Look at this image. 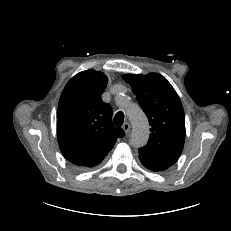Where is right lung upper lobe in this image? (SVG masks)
<instances>
[{
    "mask_svg": "<svg viewBox=\"0 0 231 231\" xmlns=\"http://www.w3.org/2000/svg\"><path fill=\"white\" fill-rule=\"evenodd\" d=\"M108 78L86 70L65 86L58 105L57 138L63 156L82 168L101 163L117 138L124 136L112 122V108L101 100Z\"/></svg>",
    "mask_w": 231,
    "mask_h": 231,
    "instance_id": "right-lung-upper-lobe-1",
    "label": "right lung upper lobe"
}]
</instances>
